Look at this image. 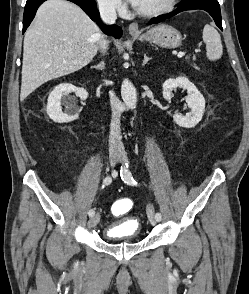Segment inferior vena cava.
Returning <instances> with one entry per match:
<instances>
[{
	"label": "inferior vena cava",
	"instance_id": "602c4592",
	"mask_svg": "<svg viewBox=\"0 0 249 294\" xmlns=\"http://www.w3.org/2000/svg\"><path fill=\"white\" fill-rule=\"evenodd\" d=\"M99 11L101 19L104 23L111 25L114 24L117 19L115 5L112 2L103 1L99 4ZM108 47V41L102 40L99 44V49L102 53L106 52ZM110 104L112 110L111 124H110V135H109V146L110 148L121 147V136H120V115H121V104L115 93L110 92Z\"/></svg>",
	"mask_w": 249,
	"mask_h": 294
}]
</instances>
